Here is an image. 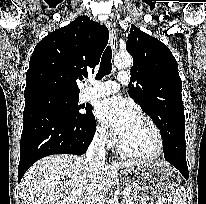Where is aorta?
I'll use <instances>...</instances> for the list:
<instances>
[{"instance_id": "aorta-1", "label": "aorta", "mask_w": 206, "mask_h": 204, "mask_svg": "<svg viewBox=\"0 0 206 204\" xmlns=\"http://www.w3.org/2000/svg\"><path fill=\"white\" fill-rule=\"evenodd\" d=\"M132 64V57L128 53H118L114 57V65L117 68H128Z\"/></svg>"}]
</instances>
